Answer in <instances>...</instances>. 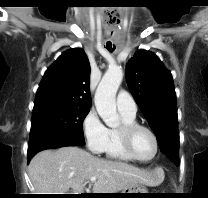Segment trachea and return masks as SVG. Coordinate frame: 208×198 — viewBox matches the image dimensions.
I'll list each match as a JSON object with an SVG mask.
<instances>
[{"mask_svg":"<svg viewBox=\"0 0 208 198\" xmlns=\"http://www.w3.org/2000/svg\"><path fill=\"white\" fill-rule=\"evenodd\" d=\"M107 49H108V50H111V47H110V46H108V47H107ZM114 49H115V48L113 47L112 51H113Z\"/></svg>","mask_w":208,"mask_h":198,"instance_id":"trachea-1","label":"trachea"}]
</instances>
